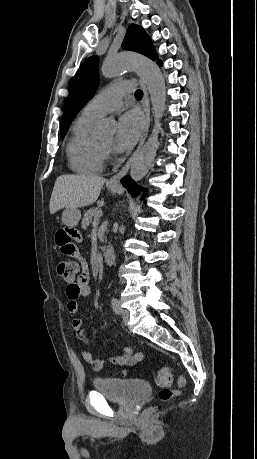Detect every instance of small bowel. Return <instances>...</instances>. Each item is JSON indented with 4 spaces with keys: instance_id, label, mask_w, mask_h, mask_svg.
<instances>
[{
    "instance_id": "obj_1",
    "label": "small bowel",
    "mask_w": 257,
    "mask_h": 459,
    "mask_svg": "<svg viewBox=\"0 0 257 459\" xmlns=\"http://www.w3.org/2000/svg\"><path fill=\"white\" fill-rule=\"evenodd\" d=\"M82 234L81 227H71L70 223H61L60 230H57L55 243L60 247L61 255H64L68 264H82L81 275L66 288V313L72 317L71 326L76 333V338L83 345L90 342V338L83 328L82 320L75 317L80 299L89 297L90 287L88 280V257L80 244H85L86 238ZM84 361L94 370L100 371L107 365L129 366L142 360V352H134L129 346L122 348V354L109 357L106 360L95 358L88 350H82Z\"/></svg>"
}]
</instances>
